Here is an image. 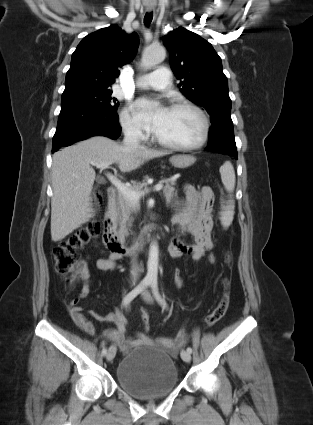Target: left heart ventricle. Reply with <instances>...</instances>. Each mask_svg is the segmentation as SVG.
<instances>
[{"mask_svg":"<svg viewBox=\"0 0 313 425\" xmlns=\"http://www.w3.org/2000/svg\"><path fill=\"white\" fill-rule=\"evenodd\" d=\"M202 132L199 116L187 109H169L156 135L167 142L180 145L196 143Z\"/></svg>","mask_w":313,"mask_h":425,"instance_id":"left-heart-ventricle-1","label":"left heart ventricle"}]
</instances>
